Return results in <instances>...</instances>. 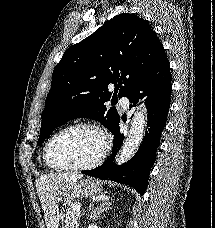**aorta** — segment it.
Here are the masks:
<instances>
[{
  "mask_svg": "<svg viewBox=\"0 0 215 228\" xmlns=\"http://www.w3.org/2000/svg\"><path fill=\"white\" fill-rule=\"evenodd\" d=\"M146 124L147 110L146 108H141V110L135 112L132 118L128 136L116 158L117 166L125 164V162H128V160L134 156L145 136Z\"/></svg>",
  "mask_w": 215,
  "mask_h": 228,
  "instance_id": "1",
  "label": "aorta"
}]
</instances>
